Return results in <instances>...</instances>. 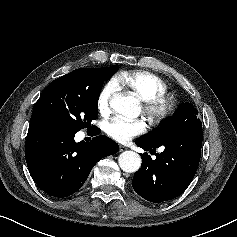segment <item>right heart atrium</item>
I'll use <instances>...</instances> for the list:
<instances>
[{
    "label": "right heart atrium",
    "mask_w": 237,
    "mask_h": 237,
    "mask_svg": "<svg viewBox=\"0 0 237 237\" xmlns=\"http://www.w3.org/2000/svg\"><path fill=\"white\" fill-rule=\"evenodd\" d=\"M118 86L114 81H109L103 85L97 97V108L101 114L109 112L110 103L117 92Z\"/></svg>",
    "instance_id": "right-heart-atrium-1"
}]
</instances>
